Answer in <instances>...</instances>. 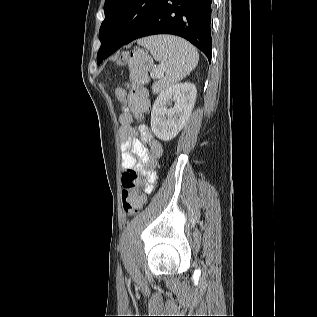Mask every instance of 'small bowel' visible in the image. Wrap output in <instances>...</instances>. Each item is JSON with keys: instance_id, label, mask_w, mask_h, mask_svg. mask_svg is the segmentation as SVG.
<instances>
[{"instance_id": "c3829d8e", "label": "small bowel", "mask_w": 317, "mask_h": 317, "mask_svg": "<svg viewBox=\"0 0 317 317\" xmlns=\"http://www.w3.org/2000/svg\"><path fill=\"white\" fill-rule=\"evenodd\" d=\"M115 95L122 106L119 116L122 169L141 171L146 177L145 193L149 194L156 179L154 167L162 155L163 146L147 126H134V121L149 109L148 93L142 87L125 84L116 89Z\"/></svg>"}]
</instances>
